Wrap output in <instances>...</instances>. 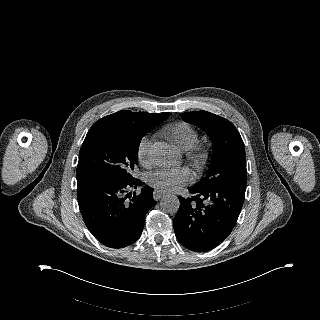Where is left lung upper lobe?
I'll return each instance as SVG.
<instances>
[{
	"instance_id": "5c2ea615",
	"label": "left lung upper lobe",
	"mask_w": 320,
	"mask_h": 320,
	"mask_svg": "<svg viewBox=\"0 0 320 320\" xmlns=\"http://www.w3.org/2000/svg\"><path fill=\"white\" fill-rule=\"evenodd\" d=\"M181 117L205 131L213 146L207 174L194 186L208 189L231 180L246 183L245 147L235 126L228 120L206 111L182 113Z\"/></svg>"
}]
</instances>
